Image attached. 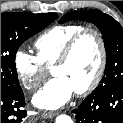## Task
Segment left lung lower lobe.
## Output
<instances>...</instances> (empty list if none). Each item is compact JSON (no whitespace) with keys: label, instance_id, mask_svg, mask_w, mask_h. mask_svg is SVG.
I'll list each match as a JSON object with an SVG mask.
<instances>
[{"label":"left lung lower lobe","instance_id":"0a47b994","mask_svg":"<svg viewBox=\"0 0 123 123\" xmlns=\"http://www.w3.org/2000/svg\"><path fill=\"white\" fill-rule=\"evenodd\" d=\"M72 112L76 123H123V87L92 92Z\"/></svg>","mask_w":123,"mask_h":123}]
</instances>
